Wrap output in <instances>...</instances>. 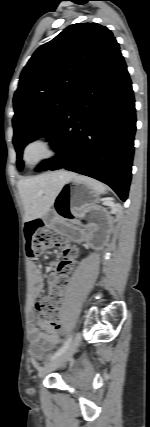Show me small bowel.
<instances>
[{
	"mask_svg": "<svg viewBox=\"0 0 150 427\" xmlns=\"http://www.w3.org/2000/svg\"><path fill=\"white\" fill-rule=\"evenodd\" d=\"M62 261H53L50 263V269L52 271L49 276L50 284L59 276ZM30 271L35 290L41 292L44 288V277L42 273L34 263L30 264ZM38 325L42 330L32 325L29 327L28 331L30 353L33 358H40L45 351L51 350L59 341L57 332L42 319H39Z\"/></svg>",
	"mask_w": 150,
	"mask_h": 427,
	"instance_id": "obj_1",
	"label": "small bowel"
}]
</instances>
